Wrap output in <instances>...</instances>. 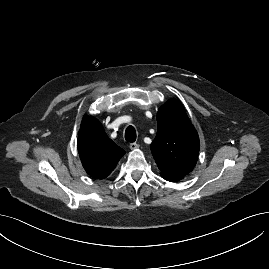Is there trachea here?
<instances>
[{
    "label": "trachea",
    "mask_w": 269,
    "mask_h": 269,
    "mask_svg": "<svg viewBox=\"0 0 269 269\" xmlns=\"http://www.w3.org/2000/svg\"><path fill=\"white\" fill-rule=\"evenodd\" d=\"M125 140L127 142H135L136 140V130L133 126H128L125 131Z\"/></svg>",
    "instance_id": "3493384b"
}]
</instances>
